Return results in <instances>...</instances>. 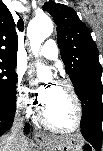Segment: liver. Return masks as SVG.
Returning <instances> with one entry per match:
<instances>
[{
  "label": "liver",
  "mask_w": 103,
  "mask_h": 151,
  "mask_svg": "<svg viewBox=\"0 0 103 151\" xmlns=\"http://www.w3.org/2000/svg\"><path fill=\"white\" fill-rule=\"evenodd\" d=\"M1 151H26L28 149V141L22 134L4 135L1 137Z\"/></svg>",
  "instance_id": "6515ba94"
}]
</instances>
